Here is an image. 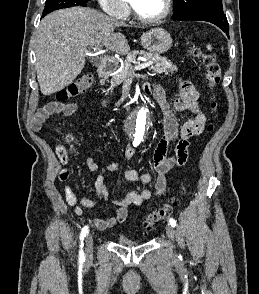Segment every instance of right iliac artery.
I'll use <instances>...</instances> for the list:
<instances>
[{
	"instance_id": "right-iliac-artery-1",
	"label": "right iliac artery",
	"mask_w": 259,
	"mask_h": 294,
	"mask_svg": "<svg viewBox=\"0 0 259 294\" xmlns=\"http://www.w3.org/2000/svg\"><path fill=\"white\" fill-rule=\"evenodd\" d=\"M139 143L138 142H133V145L136 147ZM88 226H85L81 233H80V241H81V245H80V251H79V263H83L85 261V257H84V251H83V240L86 236V234L88 233Z\"/></svg>"
}]
</instances>
